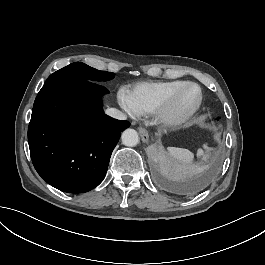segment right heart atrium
Here are the masks:
<instances>
[{"mask_svg": "<svg viewBox=\"0 0 265 265\" xmlns=\"http://www.w3.org/2000/svg\"><path fill=\"white\" fill-rule=\"evenodd\" d=\"M119 109L124 116H130L133 113V108L129 103L128 94L125 91H120L117 94Z\"/></svg>", "mask_w": 265, "mask_h": 265, "instance_id": "obj_1", "label": "right heart atrium"}]
</instances>
